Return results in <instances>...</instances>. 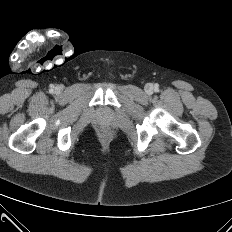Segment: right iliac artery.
Returning <instances> with one entry per match:
<instances>
[{
	"mask_svg": "<svg viewBox=\"0 0 232 232\" xmlns=\"http://www.w3.org/2000/svg\"><path fill=\"white\" fill-rule=\"evenodd\" d=\"M53 88H54V86L52 85V86H51V90H53Z\"/></svg>",
	"mask_w": 232,
	"mask_h": 232,
	"instance_id": "obj_1",
	"label": "right iliac artery"
}]
</instances>
